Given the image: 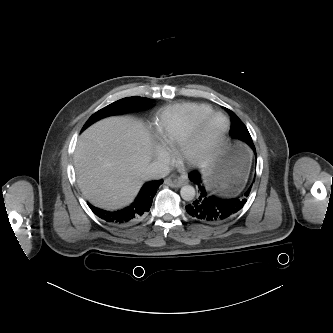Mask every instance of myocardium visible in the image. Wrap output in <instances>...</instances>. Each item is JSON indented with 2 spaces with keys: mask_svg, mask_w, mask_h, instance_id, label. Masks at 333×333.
Segmentation results:
<instances>
[{
  "mask_svg": "<svg viewBox=\"0 0 333 333\" xmlns=\"http://www.w3.org/2000/svg\"><path fill=\"white\" fill-rule=\"evenodd\" d=\"M215 119H221L222 124L215 133H211L209 126ZM229 128L228 117L219 111L213 110L199 119L193 124L186 138L178 146V161L191 168L209 165L225 142Z\"/></svg>",
  "mask_w": 333,
  "mask_h": 333,
  "instance_id": "myocardium-1",
  "label": "myocardium"
}]
</instances>
